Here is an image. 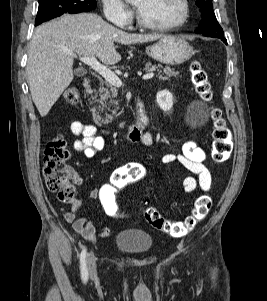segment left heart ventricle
Returning <instances> with one entry per match:
<instances>
[{"label": "left heart ventricle", "instance_id": "1", "mask_svg": "<svg viewBox=\"0 0 267 301\" xmlns=\"http://www.w3.org/2000/svg\"><path fill=\"white\" fill-rule=\"evenodd\" d=\"M135 5L143 19L158 25L178 21L183 10L180 0H135Z\"/></svg>", "mask_w": 267, "mask_h": 301}]
</instances>
